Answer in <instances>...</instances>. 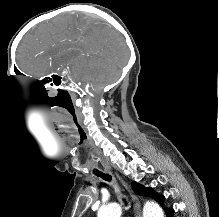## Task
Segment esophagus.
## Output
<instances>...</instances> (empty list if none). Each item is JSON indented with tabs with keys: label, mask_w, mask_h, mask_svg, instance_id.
I'll list each match as a JSON object with an SVG mask.
<instances>
[{
	"label": "esophagus",
	"mask_w": 219,
	"mask_h": 217,
	"mask_svg": "<svg viewBox=\"0 0 219 217\" xmlns=\"http://www.w3.org/2000/svg\"><path fill=\"white\" fill-rule=\"evenodd\" d=\"M119 177V176H118ZM120 181L122 182V184L127 188V190L129 191L130 195H131V199L132 202L134 204V211H135V217H142V212H141V204L140 201L138 199V197L132 193L130 186L128 185V183H126L122 178H120Z\"/></svg>",
	"instance_id": "34e87169"
}]
</instances>
